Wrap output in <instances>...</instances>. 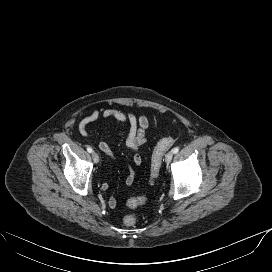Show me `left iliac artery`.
Wrapping results in <instances>:
<instances>
[{
    "instance_id": "44dca946",
    "label": "left iliac artery",
    "mask_w": 272,
    "mask_h": 272,
    "mask_svg": "<svg viewBox=\"0 0 272 272\" xmlns=\"http://www.w3.org/2000/svg\"><path fill=\"white\" fill-rule=\"evenodd\" d=\"M172 152H173L174 154L178 153V152H179V148H178V147H175V148L172 150Z\"/></svg>"
}]
</instances>
